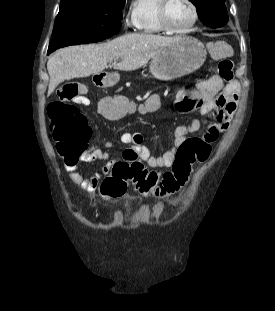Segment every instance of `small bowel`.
<instances>
[{
    "label": "small bowel",
    "mask_w": 275,
    "mask_h": 311,
    "mask_svg": "<svg viewBox=\"0 0 275 311\" xmlns=\"http://www.w3.org/2000/svg\"><path fill=\"white\" fill-rule=\"evenodd\" d=\"M238 98L239 85L236 81L224 83L222 78L217 75L209 77L189 97L178 99L175 102V108L178 112L184 114L199 112L205 117H213L214 121L201 123L199 120H194L188 126L176 127L173 132V146L160 156L151 155L149 148L143 142L141 133L123 132L120 135V141L131 146L129 149L122 150L124 160H141L153 169L171 167L175 160L177 148L188 135L203 129L204 136H218L228 128L236 110ZM150 111L153 112V108H150ZM102 147L107 150L113 149L115 143L111 140H105L102 144L92 145L76 160L64 159V168L70 179L91 194H96L100 190L99 186L102 179L105 178V175L110 174L116 163L121 162L110 159L109 153L104 151ZM94 160H105L106 162L99 171L91 176H87L79 170L80 161L89 162ZM73 211L77 212L78 208L74 207Z\"/></svg>",
    "instance_id": "obj_1"
}]
</instances>
